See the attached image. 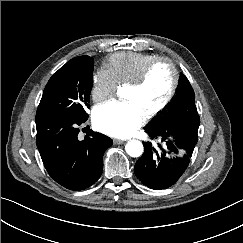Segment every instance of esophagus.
Returning a JSON list of instances; mask_svg holds the SVG:
<instances>
[{"label":"esophagus","instance_id":"34e87169","mask_svg":"<svg viewBox=\"0 0 243 243\" xmlns=\"http://www.w3.org/2000/svg\"><path fill=\"white\" fill-rule=\"evenodd\" d=\"M124 141L123 140H120V139H113V144L114 145H120V144H123Z\"/></svg>","mask_w":243,"mask_h":243}]
</instances>
